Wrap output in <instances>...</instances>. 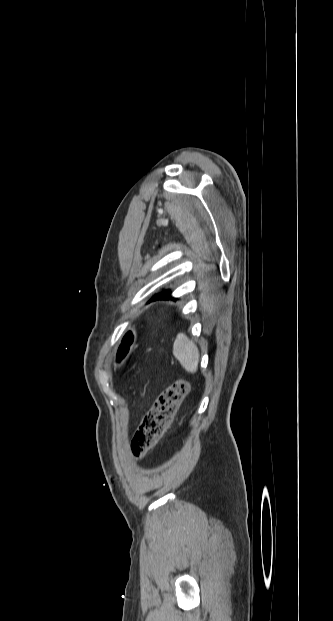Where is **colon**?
Listing matches in <instances>:
<instances>
[{
    "instance_id": "colon-1",
    "label": "colon",
    "mask_w": 333,
    "mask_h": 621,
    "mask_svg": "<svg viewBox=\"0 0 333 621\" xmlns=\"http://www.w3.org/2000/svg\"><path fill=\"white\" fill-rule=\"evenodd\" d=\"M188 391V381L178 379L159 395L133 436L131 451L136 458H143L157 445Z\"/></svg>"
}]
</instances>
